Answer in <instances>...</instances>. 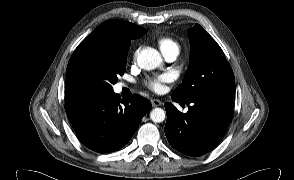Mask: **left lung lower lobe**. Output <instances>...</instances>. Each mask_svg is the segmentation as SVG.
<instances>
[{
  "label": "left lung lower lobe",
  "instance_id": "obj_1",
  "mask_svg": "<svg viewBox=\"0 0 294 180\" xmlns=\"http://www.w3.org/2000/svg\"><path fill=\"white\" fill-rule=\"evenodd\" d=\"M172 100L189 106L183 114L173 104H164L167 113L164 131L170 145L190 156L212 151L227 130L233 114V100L195 97L182 101L173 96Z\"/></svg>",
  "mask_w": 294,
  "mask_h": 180
}]
</instances>
